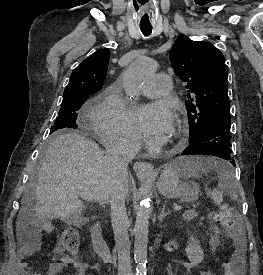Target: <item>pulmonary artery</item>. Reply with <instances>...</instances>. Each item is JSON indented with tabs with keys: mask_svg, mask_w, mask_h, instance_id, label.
Segmentation results:
<instances>
[{
	"mask_svg": "<svg viewBox=\"0 0 263 275\" xmlns=\"http://www.w3.org/2000/svg\"><path fill=\"white\" fill-rule=\"evenodd\" d=\"M171 91V81L166 74H155L142 87V94L148 98H158L168 95Z\"/></svg>",
	"mask_w": 263,
	"mask_h": 275,
	"instance_id": "pulmonary-artery-1",
	"label": "pulmonary artery"
}]
</instances>
